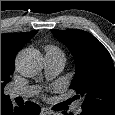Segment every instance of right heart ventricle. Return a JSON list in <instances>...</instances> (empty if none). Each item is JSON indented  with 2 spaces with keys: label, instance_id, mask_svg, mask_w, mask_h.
<instances>
[{
  "label": "right heart ventricle",
  "instance_id": "obj_1",
  "mask_svg": "<svg viewBox=\"0 0 115 115\" xmlns=\"http://www.w3.org/2000/svg\"><path fill=\"white\" fill-rule=\"evenodd\" d=\"M46 52H59V53H61V51L55 46H47Z\"/></svg>",
  "mask_w": 115,
  "mask_h": 115
}]
</instances>
